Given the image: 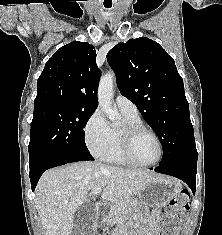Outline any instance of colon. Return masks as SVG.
Returning <instances> with one entry per match:
<instances>
[{
    "label": "colon",
    "mask_w": 222,
    "mask_h": 235,
    "mask_svg": "<svg viewBox=\"0 0 222 235\" xmlns=\"http://www.w3.org/2000/svg\"><path fill=\"white\" fill-rule=\"evenodd\" d=\"M189 210V194L179 191L170 201L162 218V231L159 235H177L179 224Z\"/></svg>",
    "instance_id": "1"
}]
</instances>
